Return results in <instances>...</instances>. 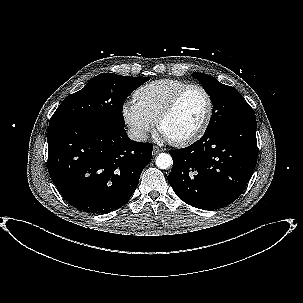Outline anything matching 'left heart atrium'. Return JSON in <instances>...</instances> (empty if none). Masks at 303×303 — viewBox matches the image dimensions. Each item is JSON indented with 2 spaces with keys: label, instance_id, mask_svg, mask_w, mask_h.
<instances>
[{
  "label": "left heart atrium",
  "instance_id": "1",
  "mask_svg": "<svg viewBox=\"0 0 303 303\" xmlns=\"http://www.w3.org/2000/svg\"><path fill=\"white\" fill-rule=\"evenodd\" d=\"M163 136L165 137V138H168L165 134H163ZM169 139V138H168Z\"/></svg>",
  "mask_w": 303,
  "mask_h": 303
}]
</instances>
